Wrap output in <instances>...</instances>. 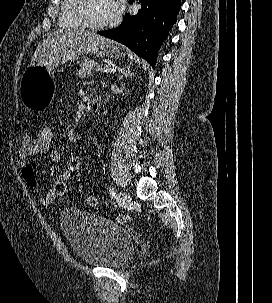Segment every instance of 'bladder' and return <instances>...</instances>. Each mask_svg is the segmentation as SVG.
I'll return each mask as SVG.
<instances>
[{
  "label": "bladder",
  "mask_w": 272,
  "mask_h": 303,
  "mask_svg": "<svg viewBox=\"0 0 272 303\" xmlns=\"http://www.w3.org/2000/svg\"><path fill=\"white\" fill-rule=\"evenodd\" d=\"M59 224L73 252L88 266L119 268L134 254L132 236L103 216L69 208L61 213Z\"/></svg>",
  "instance_id": "obj_1"
}]
</instances>
